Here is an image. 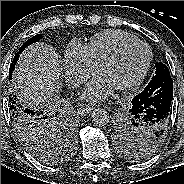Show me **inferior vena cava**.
Masks as SVG:
<instances>
[{"label": "inferior vena cava", "instance_id": "obj_1", "mask_svg": "<svg viewBox=\"0 0 184 184\" xmlns=\"http://www.w3.org/2000/svg\"><path fill=\"white\" fill-rule=\"evenodd\" d=\"M86 81L85 77L83 76H78L76 78H74V80L72 81L73 85H80L83 84Z\"/></svg>", "mask_w": 184, "mask_h": 184}]
</instances>
